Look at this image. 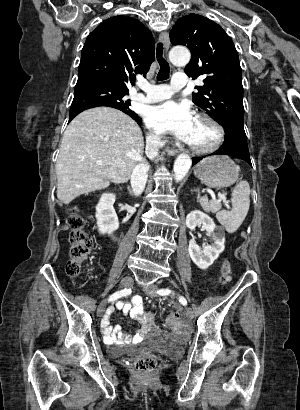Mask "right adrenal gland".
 <instances>
[{
    "label": "right adrenal gland",
    "mask_w": 300,
    "mask_h": 410,
    "mask_svg": "<svg viewBox=\"0 0 300 410\" xmlns=\"http://www.w3.org/2000/svg\"><path fill=\"white\" fill-rule=\"evenodd\" d=\"M127 189H128L129 194H130L131 196H133V195H134V193L132 192L131 187H130V186H128V187H127Z\"/></svg>",
    "instance_id": "1"
}]
</instances>
